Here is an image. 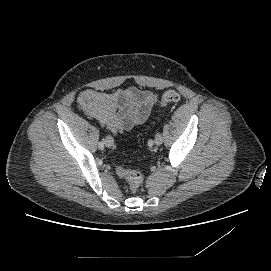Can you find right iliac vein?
<instances>
[{"mask_svg":"<svg viewBox=\"0 0 271 271\" xmlns=\"http://www.w3.org/2000/svg\"><path fill=\"white\" fill-rule=\"evenodd\" d=\"M106 147H111L113 145V138L111 136H107L105 139Z\"/></svg>","mask_w":271,"mask_h":271,"instance_id":"obj_1","label":"right iliac vein"}]
</instances>
